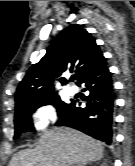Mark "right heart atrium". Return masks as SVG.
Here are the masks:
<instances>
[{
    "label": "right heart atrium",
    "mask_w": 135,
    "mask_h": 166,
    "mask_svg": "<svg viewBox=\"0 0 135 166\" xmlns=\"http://www.w3.org/2000/svg\"><path fill=\"white\" fill-rule=\"evenodd\" d=\"M32 117L34 130L40 133L56 122L59 114L51 104H42L34 110Z\"/></svg>",
    "instance_id": "d8ad5b80"
}]
</instances>
